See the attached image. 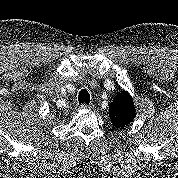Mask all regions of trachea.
I'll return each mask as SVG.
<instances>
[{"label":"trachea","instance_id":"1","mask_svg":"<svg viewBox=\"0 0 178 178\" xmlns=\"http://www.w3.org/2000/svg\"><path fill=\"white\" fill-rule=\"evenodd\" d=\"M78 102H79V104H83V103L89 104V102H90V94L86 89H82L79 92Z\"/></svg>","mask_w":178,"mask_h":178}]
</instances>
